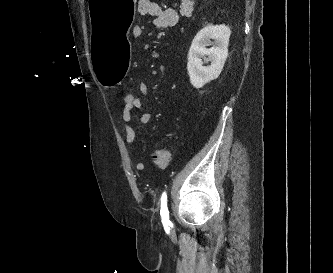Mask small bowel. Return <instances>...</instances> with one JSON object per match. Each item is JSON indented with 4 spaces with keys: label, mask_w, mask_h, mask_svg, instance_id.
I'll list each match as a JSON object with an SVG mask.
<instances>
[{
    "label": "small bowel",
    "mask_w": 333,
    "mask_h": 273,
    "mask_svg": "<svg viewBox=\"0 0 333 273\" xmlns=\"http://www.w3.org/2000/svg\"><path fill=\"white\" fill-rule=\"evenodd\" d=\"M138 13L142 16H149L153 18L154 25L158 28L167 29L174 27L179 19L177 12L170 8H163L157 2L152 0H139L137 6ZM143 34V28L140 25L133 27V35L135 37H141ZM140 96L135 95L136 104L134 109H143L146 106V98L149 93V88L146 83L139 85ZM133 94V93H127ZM134 109H122V128L125 133V140L128 144L134 142L136 133L133 127V123L145 125L151 121L152 115L149 111L143 112L141 115L135 116L133 114ZM135 169L137 171H143L145 164L141 161L135 163Z\"/></svg>",
    "instance_id": "small-bowel-1"
}]
</instances>
